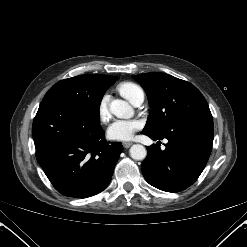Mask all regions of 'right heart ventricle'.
<instances>
[{
	"label": "right heart ventricle",
	"instance_id": "e07e8e85",
	"mask_svg": "<svg viewBox=\"0 0 247 247\" xmlns=\"http://www.w3.org/2000/svg\"><path fill=\"white\" fill-rule=\"evenodd\" d=\"M117 89L131 103L140 93H143L142 89L133 82H122Z\"/></svg>",
	"mask_w": 247,
	"mask_h": 247
}]
</instances>
